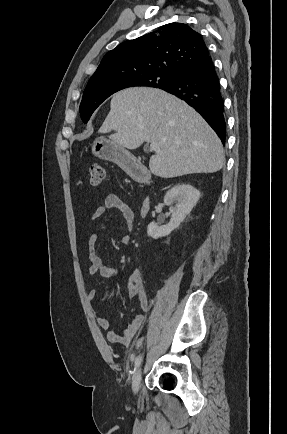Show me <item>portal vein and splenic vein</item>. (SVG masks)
I'll list each match as a JSON object with an SVG mask.
<instances>
[{"label": "portal vein and splenic vein", "instance_id": "portal-vein-and-splenic-vein-1", "mask_svg": "<svg viewBox=\"0 0 287 434\" xmlns=\"http://www.w3.org/2000/svg\"><path fill=\"white\" fill-rule=\"evenodd\" d=\"M149 148H150L151 151L160 152V147L155 142H150Z\"/></svg>", "mask_w": 287, "mask_h": 434}]
</instances>
